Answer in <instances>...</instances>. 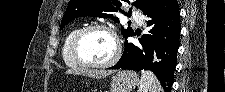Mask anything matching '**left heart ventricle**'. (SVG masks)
<instances>
[{
  "label": "left heart ventricle",
  "mask_w": 225,
  "mask_h": 92,
  "mask_svg": "<svg viewBox=\"0 0 225 92\" xmlns=\"http://www.w3.org/2000/svg\"><path fill=\"white\" fill-rule=\"evenodd\" d=\"M79 52L84 59L92 63H104L114 55V43L107 32L93 30L80 41Z\"/></svg>",
  "instance_id": "obj_1"
}]
</instances>
